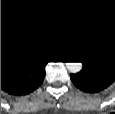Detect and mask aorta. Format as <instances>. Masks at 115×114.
I'll return each mask as SVG.
<instances>
[{
  "mask_svg": "<svg viewBox=\"0 0 115 114\" xmlns=\"http://www.w3.org/2000/svg\"><path fill=\"white\" fill-rule=\"evenodd\" d=\"M66 67L71 73H77L82 69V64L80 62H67Z\"/></svg>",
  "mask_w": 115,
  "mask_h": 114,
  "instance_id": "aorta-1",
  "label": "aorta"
}]
</instances>
